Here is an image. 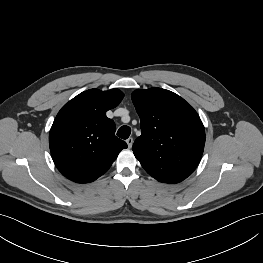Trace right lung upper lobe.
I'll return each mask as SVG.
<instances>
[{
	"label": "right lung upper lobe",
	"mask_w": 263,
	"mask_h": 263,
	"mask_svg": "<svg viewBox=\"0 0 263 263\" xmlns=\"http://www.w3.org/2000/svg\"><path fill=\"white\" fill-rule=\"evenodd\" d=\"M118 89H90L65 104L49 134L58 170L77 183L93 182L112 165L127 144L115 136L116 126L106 112L121 102Z\"/></svg>",
	"instance_id": "cb5924a9"
}]
</instances>
